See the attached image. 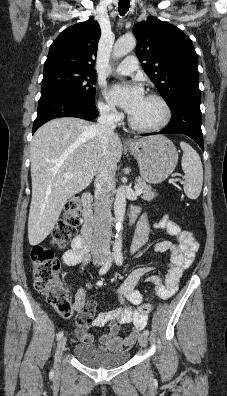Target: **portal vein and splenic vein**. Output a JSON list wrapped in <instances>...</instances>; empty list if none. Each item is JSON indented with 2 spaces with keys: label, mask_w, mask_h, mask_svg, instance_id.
Instances as JSON below:
<instances>
[{
  "label": "portal vein and splenic vein",
  "mask_w": 227,
  "mask_h": 396,
  "mask_svg": "<svg viewBox=\"0 0 227 396\" xmlns=\"http://www.w3.org/2000/svg\"><path fill=\"white\" fill-rule=\"evenodd\" d=\"M72 176H73V175H72V174H69V173L64 174V177H65V178H71ZM173 181H179V179H173ZM135 194H136V195H141V194H142V189H141V188H138L137 185H135Z\"/></svg>",
  "instance_id": "1"
}]
</instances>
